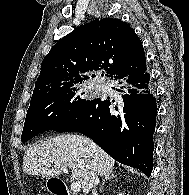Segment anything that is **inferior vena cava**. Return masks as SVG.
Wrapping results in <instances>:
<instances>
[{"label": "inferior vena cava", "instance_id": "obj_1", "mask_svg": "<svg viewBox=\"0 0 189 195\" xmlns=\"http://www.w3.org/2000/svg\"><path fill=\"white\" fill-rule=\"evenodd\" d=\"M98 184H99V178L98 176H95L93 180V186H92V195H98L97 190H96V186Z\"/></svg>", "mask_w": 189, "mask_h": 195}]
</instances>
